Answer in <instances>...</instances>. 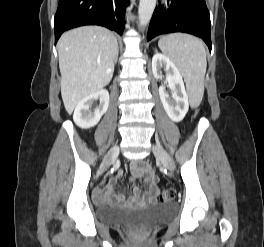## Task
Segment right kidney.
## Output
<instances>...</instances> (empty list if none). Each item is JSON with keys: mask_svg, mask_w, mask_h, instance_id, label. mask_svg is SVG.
<instances>
[{"mask_svg": "<svg viewBox=\"0 0 264 247\" xmlns=\"http://www.w3.org/2000/svg\"><path fill=\"white\" fill-rule=\"evenodd\" d=\"M97 99L99 100V105L94 112H92L91 105ZM108 106L109 93L107 90L101 89L91 93L77 104L73 114V120L80 128L89 129L98 124L102 115L106 113Z\"/></svg>", "mask_w": 264, "mask_h": 247, "instance_id": "obj_1", "label": "right kidney"}]
</instances>
